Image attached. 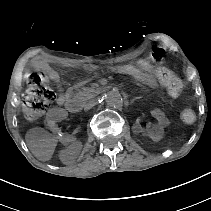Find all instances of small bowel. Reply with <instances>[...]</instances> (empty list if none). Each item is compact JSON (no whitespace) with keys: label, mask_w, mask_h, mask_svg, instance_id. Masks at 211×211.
I'll use <instances>...</instances> for the list:
<instances>
[{"label":"small bowel","mask_w":211,"mask_h":211,"mask_svg":"<svg viewBox=\"0 0 211 211\" xmlns=\"http://www.w3.org/2000/svg\"><path fill=\"white\" fill-rule=\"evenodd\" d=\"M34 69L39 72H44L48 76L49 79L56 82L58 81V75L55 72L51 71L47 67V65H45L44 63L37 62L34 66ZM112 70L116 72H120V73H130L134 75L137 78V81L140 85L152 87V88H155L158 86V83L154 76L140 73L132 67L121 66V67L112 68ZM83 83L84 82H81L79 85ZM59 91H60V94L57 98V103L62 105L70 97L71 89H64L63 87L59 86ZM152 117H153V122L147 126L146 130L148 131L149 135L155 136L165 127L167 120L164 113L158 108L153 109ZM46 128L50 132L55 134L60 142L66 141L65 135H63L58 129L57 117L55 116L54 111L51 112L47 118Z\"/></svg>","instance_id":"1"}]
</instances>
